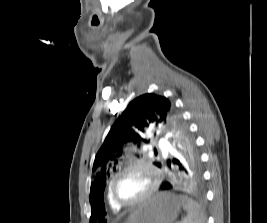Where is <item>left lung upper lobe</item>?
<instances>
[{
  "instance_id": "1",
  "label": "left lung upper lobe",
  "mask_w": 267,
  "mask_h": 223,
  "mask_svg": "<svg viewBox=\"0 0 267 223\" xmlns=\"http://www.w3.org/2000/svg\"><path fill=\"white\" fill-rule=\"evenodd\" d=\"M158 126L170 134L171 140L180 152V160H169L167 164H178L182 171H202L195 141L181 115L175 111L173 103L164 96L152 93L137 97L114 122L96 154L93 164L96 176L91 185L90 197L87 199V204H91L92 220L93 216L102 219L105 211L109 209L103 203L106 178L110 169L123 155L126 144L133 143L140 147L142 142L149 143V140L142 138L140 134L152 131ZM154 164L161 167L159 162Z\"/></svg>"
}]
</instances>
